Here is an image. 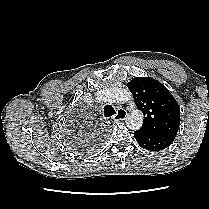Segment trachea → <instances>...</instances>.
Listing matches in <instances>:
<instances>
[{
  "instance_id": "obj_1",
  "label": "trachea",
  "mask_w": 209,
  "mask_h": 209,
  "mask_svg": "<svg viewBox=\"0 0 209 209\" xmlns=\"http://www.w3.org/2000/svg\"><path fill=\"white\" fill-rule=\"evenodd\" d=\"M114 114H116L115 109L111 105H105V107H104V115L106 117H111Z\"/></svg>"
}]
</instances>
